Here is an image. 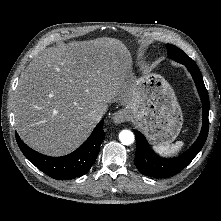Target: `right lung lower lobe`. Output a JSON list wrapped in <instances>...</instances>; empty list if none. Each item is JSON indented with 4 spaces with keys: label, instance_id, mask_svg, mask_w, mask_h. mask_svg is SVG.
Returning a JSON list of instances; mask_svg holds the SVG:
<instances>
[{
    "label": "right lung lower lobe",
    "instance_id": "obj_1",
    "mask_svg": "<svg viewBox=\"0 0 221 221\" xmlns=\"http://www.w3.org/2000/svg\"><path fill=\"white\" fill-rule=\"evenodd\" d=\"M101 120L89 138L74 152L62 157H49L28 147L16 133V140L25 157L39 170L57 180H68L87 173L94 164L105 137Z\"/></svg>",
    "mask_w": 221,
    "mask_h": 221
}]
</instances>
